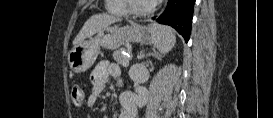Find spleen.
<instances>
[{"label": "spleen", "instance_id": "1", "mask_svg": "<svg viewBox=\"0 0 273 118\" xmlns=\"http://www.w3.org/2000/svg\"><path fill=\"white\" fill-rule=\"evenodd\" d=\"M151 38L161 53L169 52L176 42L172 28L164 25H153L151 27Z\"/></svg>", "mask_w": 273, "mask_h": 118}]
</instances>
